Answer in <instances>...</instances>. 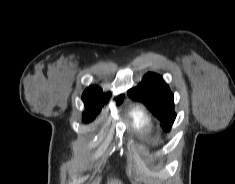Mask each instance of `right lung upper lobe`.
I'll return each instance as SVG.
<instances>
[{"label":"right lung upper lobe","mask_w":235,"mask_h":184,"mask_svg":"<svg viewBox=\"0 0 235 184\" xmlns=\"http://www.w3.org/2000/svg\"><path fill=\"white\" fill-rule=\"evenodd\" d=\"M108 94H104L102 89L98 86H90L85 90L82 96L86 107H102L104 99L107 101ZM123 95L117 98L118 104L122 102Z\"/></svg>","instance_id":"right-lung-upper-lobe-1"}]
</instances>
